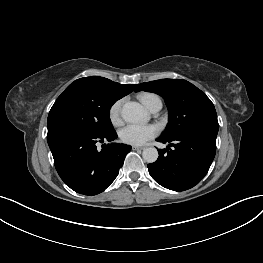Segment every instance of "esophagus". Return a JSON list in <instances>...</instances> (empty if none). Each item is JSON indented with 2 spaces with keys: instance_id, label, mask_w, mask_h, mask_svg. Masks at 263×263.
I'll use <instances>...</instances> for the list:
<instances>
[{
  "instance_id": "esophagus-1",
  "label": "esophagus",
  "mask_w": 263,
  "mask_h": 263,
  "mask_svg": "<svg viewBox=\"0 0 263 263\" xmlns=\"http://www.w3.org/2000/svg\"><path fill=\"white\" fill-rule=\"evenodd\" d=\"M132 149H133V150H143L144 147L133 146Z\"/></svg>"
}]
</instances>
